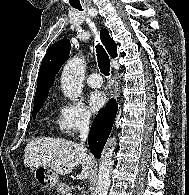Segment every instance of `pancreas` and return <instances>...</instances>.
<instances>
[{
  "instance_id": "cf45deb5",
  "label": "pancreas",
  "mask_w": 189,
  "mask_h": 195,
  "mask_svg": "<svg viewBox=\"0 0 189 195\" xmlns=\"http://www.w3.org/2000/svg\"><path fill=\"white\" fill-rule=\"evenodd\" d=\"M68 185L65 183H60L57 185V195H67L69 192Z\"/></svg>"
}]
</instances>
